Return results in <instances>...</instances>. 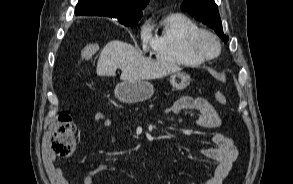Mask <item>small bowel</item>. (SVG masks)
Returning a JSON list of instances; mask_svg holds the SVG:
<instances>
[{"mask_svg": "<svg viewBox=\"0 0 293 184\" xmlns=\"http://www.w3.org/2000/svg\"><path fill=\"white\" fill-rule=\"evenodd\" d=\"M187 111L196 112L193 119L194 123L207 128H219L222 125L221 118L212 104L202 97L185 96L176 101L169 109L168 114L180 115ZM95 123L101 124L104 127H110L112 120L107 118L103 112H96L93 115ZM114 137L111 138V141ZM214 147L201 149V153L215 161V167L211 175L204 179L201 184H223L224 179L228 176L232 169L233 162L237 157V148L231 137L216 132L212 135ZM114 166L108 164H100L88 170L84 177V184H93L92 178L94 175L102 172H113ZM48 171L55 184H72V182L64 175L62 169L55 165L51 159L48 163ZM196 184V183H191Z\"/></svg>", "mask_w": 293, "mask_h": 184, "instance_id": "1", "label": "small bowel"}]
</instances>
